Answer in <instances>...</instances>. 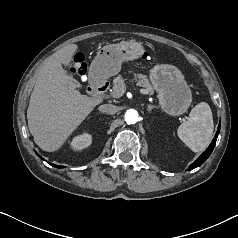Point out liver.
<instances>
[{"instance_id":"6515ba94","label":"liver","mask_w":238,"mask_h":238,"mask_svg":"<svg viewBox=\"0 0 238 238\" xmlns=\"http://www.w3.org/2000/svg\"><path fill=\"white\" fill-rule=\"evenodd\" d=\"M78 45H68L51 56L37 72L27 109L28 128L35 143L44 151L58 150L101 101L82 95L77 81L63 69Z\"/></svg>"}]
</instances>
